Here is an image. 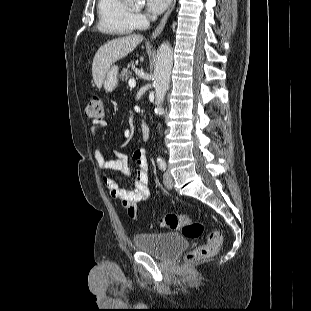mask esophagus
Wrapping results in <instances>:
<instances>
[{
  "mask_svg": "<svg viewBox=\"0 0 311 311\" xmlns=\"http://www.w3.org/2000/svg\"><path fill=\"white\" fill-rule=\"evenodd\" d=\"M175 4H176V0H172L170 6L168 7L166 13L164 14L160 24L158 25V27L156 28V30L152 33L151 35V39H155L157 38L161 32L163 31L164 29V26L167 22V19L169 17V15L171 14V12L173 11L174 7H175Z\"/></svg>",
  "mask_w": 311,
  "mask_h": 311,
  "instance_id": "34e87169",
  "label": "esophagus"
}]
</instances>
